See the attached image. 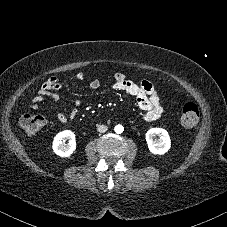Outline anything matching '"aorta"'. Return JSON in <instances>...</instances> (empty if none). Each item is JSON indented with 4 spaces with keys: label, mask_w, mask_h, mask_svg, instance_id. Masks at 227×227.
Segmentation results:
<instances>
[{
    "label": "aorta",
    "mask_w": 227,
    "mask_h": 227,
    "mask_svg": "<svg viewBox=\"0 0 227 227\" xmlns=\"http://www.w3.org/2000/svg\"><path fill=\"white\" fill-rule=\"evenodd\" d=\"M114 130L117 134H121L124 131V127L122 125H116Z\"/></svg>",
    "instance_id": "aorta-1"
}]
</instances>
